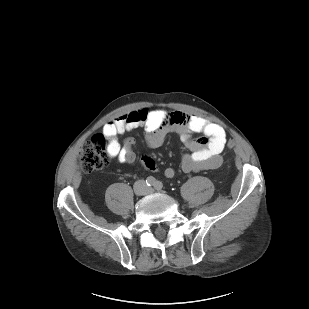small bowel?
Returning <instances> with one entry per match:
<instances>
[{"instance_id": "small-bowel-1", "label": "small bowel", "mask_w": 309, "mask_h": 309, "mask_svg": "<svg viewBox=\"0 0 309 309\" xmlns=\"http://www.w3.org/2000/svg\"><path fill=\"white\" fill-rule=\"evenodd\" d=\"M139 127L145 129V140L151 148L159 147L169 134L177 133L182 144L190 151L181 160V169L185 173L217 169L223 162L226 134L221 126L197 115L147 107L123 114L105 124L103 135L108 140V155L122 163L134 164V139L127 137L121 144L117 137ZM194 134H202L203 137L194 139ZM143 163L146 169L157 170L153 159L147 157ZM164 174L172 178L175 171L166 168Z\"/></svg>"}]
</instances>
